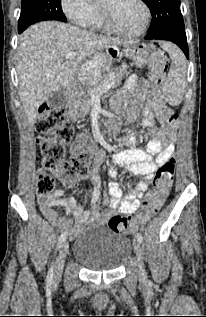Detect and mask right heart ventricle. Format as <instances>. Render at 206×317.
Listing matches in <instances>:
<instances>
[{"label":"right heart ventricle","mask_w":206,"mask_h":317,"mask_svg":"<svg viewBox=\"0 0 206 317\" xmlns=\"http://www.w3.org/2000/svg\"><path fill=\"white\" fill-rule=\"evenodd\" d=\"M90 26L93 28H103L104 27V22H103L102 15H101L99 8H97L96 16H95V18L92 21Z\"/></svg>","instance_id":"e07e8e85"}]
</instances>
